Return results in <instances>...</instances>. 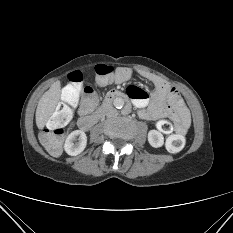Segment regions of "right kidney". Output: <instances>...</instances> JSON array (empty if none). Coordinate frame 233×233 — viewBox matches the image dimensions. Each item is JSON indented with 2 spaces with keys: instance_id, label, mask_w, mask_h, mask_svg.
Returning a JSON list of instances; mask_svg holds the SVG:
<instances>
[{
  "instance_id": "obj_1",
  "label": "right kidney",
  "mask_w": 233,
  "mask_h": 233,
  "mask_svg": "<svg viewBox=\"0 0 233 233\" xmlns=\"http://www.w3.org/2000/svg\"><path fill=\"white\" fill-rule=\"evenodd\" d=\"M87 145V136L82 130L71 132L65 140L64 150L68 155L76 156L83 152Z\"/></svg>"
}]
</instances>
